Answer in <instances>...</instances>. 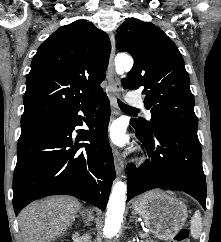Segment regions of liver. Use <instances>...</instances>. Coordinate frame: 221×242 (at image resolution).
Instances as JSON below:
<instances>
[{"instance_id": "obj_1", "label": "liver", "mask_w": 221, "mask_h": 242, "mask_svg": "<svg viewBox=\"0 0 221 242\" xmlns=\"http://www.w3.org/2000/svg\"><path fill=\"white\" fill-rule=\"evenodd\" d=\"M81 204L71 197L57 196L36 201L19 214L23 242H50L70 227Z\"/></svg>"}]
</instances>
